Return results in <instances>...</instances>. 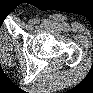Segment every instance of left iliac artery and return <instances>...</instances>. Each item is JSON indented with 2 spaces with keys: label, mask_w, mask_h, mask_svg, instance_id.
Instances as JSON below:
<instances>
[{
  "label": "left iliac artery",
  "mask_w": 93,
  "mask_h": 93,
  "mask_svg": "<svg viewBox=\"0 0 93 93\" xmlns=\"http://www.w3.org/2000/svg\"><path fill=\"white\" fill-rule=\"evenodd\" d=\"M34 21H35L36 24L40 23V19H38V18H36Z\"/></svg>",
  "instance_id": "obj_1"
}]
</instances>
